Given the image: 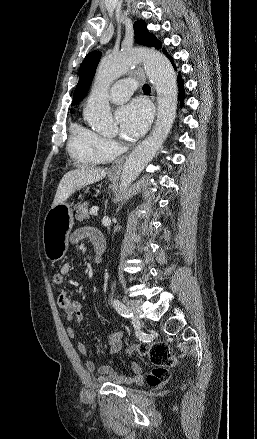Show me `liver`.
Listing matches in <instances>:
<instances>
[{
  "mask_svg": "<svg viewBox=\"0 0 257 439\" xmlns=\"http://www.w3.org/2000/svg\"><path fill=\"white\" fill-rule=\"evenodd\" d=\"M106 174V169L101 168H81L67 172L58 185L52 207L63 203L85 186L102 180Z\"/></svg>",
  "mask_w": 257,
  "mask_h": 439,
  "instance_id": "liver-1",
  "label": "liver"
}]
</instances>
